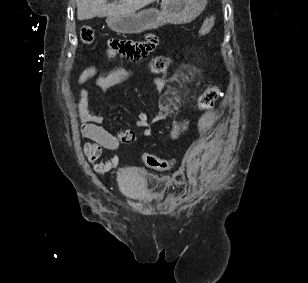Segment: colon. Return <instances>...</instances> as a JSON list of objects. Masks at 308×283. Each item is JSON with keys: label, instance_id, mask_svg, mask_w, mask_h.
I'll return each mask as SVG.
<instances>
[{"label": "colon", "instance_id": "colon-1", "mask_svg": "<svg viewBox=\"0 0 308 283\" xmlns=\"http://www.w3.org/2000/svg\"><path fill=\"white\" fill-rule=\"evenodd\" d=\"M215 22H216L215 16L212 15L207 17L203 21L199 29V34L207 35L208 33H210L215 25ZM80 38L83 43L91 45L95 40V34L93 29L87 25L82 26L80 29ZM168 65H169L168 58L163 56H158L152 59L149 67L153 73L158 74V73H163L167 69ZM220 96H221V89L219 85L217 84L210 85L199 96L197 106L200 110H209L214 106V104L216 103V101L219 99ZM143 160L148 167L157 170L168 169L172 165V162L170 160L164 159L162 157L150 153L144 154Z\"/></svg>", "mask_w": 308, "mask_h": 283}]
</instances>
